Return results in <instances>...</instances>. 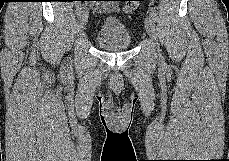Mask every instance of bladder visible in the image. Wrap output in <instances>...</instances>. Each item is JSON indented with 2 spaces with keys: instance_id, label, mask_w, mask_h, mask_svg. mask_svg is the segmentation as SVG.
I'll return each instance as SVG.
<instances>
[{
  "instance_id": "bladder-1",
  "label": "bladder",
  "mask_w": 229,
  "mask_h": 161,
  "mask_svg": "<svg viewBox=\"0 0 229 161\" xmlns=\"http://www.w3.org/2000/svg\"><path fill=\"white\" fill-rule=\"evenodd\" d=\"M95 43L105 51H122L132 44L131 35L124 23L116 17H107L101 22Z\"/></svg>"
}]
</instances>
